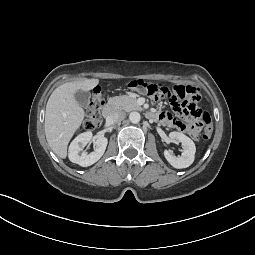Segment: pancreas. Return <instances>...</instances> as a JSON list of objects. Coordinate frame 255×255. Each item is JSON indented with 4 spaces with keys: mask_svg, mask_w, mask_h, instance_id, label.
I'll return each instance as SVG.
<instances>
[{
    "mask_svg": "<svg viewBox=\"0 0 255 255\" xmlns=\"http://www.w3.org/2000/svg\"><path fill=\"white\" fill-rule=\"evenodd\" d=\"M108 104L113 109L124 110L127 112L141 109V107L137 104L136 98L130 95L115 96L109 98Z\"/></svg>",
    "mask_w": 255,
    "mask_h": 255,
    "instance_id": "pancreas-1",
    "label": "pancreas"
}]
</instances>
